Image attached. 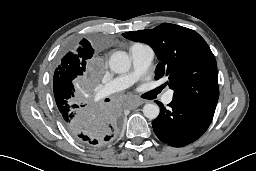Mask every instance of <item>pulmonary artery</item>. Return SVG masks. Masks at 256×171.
Listing matches in <instances>:
<instances>
[{"label": "pulmonary artery", "instance_id": "e3ab8cb5", "mask_svg": "<svg viewBox=\"0 0 256 171\" xmlns=\"http://www.w3.org/2000/svg\"><path fill=\"white\" fill-rule=\"evenodd\" d=\"M132 60V69L126 74L120 75L105 85L102 94L109 95L124 90L133 85L142 75H144L154 59L153 49L146 44H134L129 49ZM173 92L170 90L164 97V103L172 101Z\"/></svg>", "mask_w": 256, "mask_h": 171}]
</instances>
